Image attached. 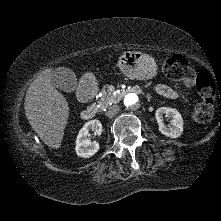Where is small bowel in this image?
Segmentation results:
<instances>
[{"label":"small bowel","instance_id":"1","mask_svg":"<svg viewBox=\"0 0 221 221\" xmlns=\"http://www.w3.org/2000/svg\"><path fill=\"white\" fill-rule=\"evenodd\" d=\"M156 91L169 99H177L181 96V92L179 90H176L170 86L164 85V84H160L156 87Z\"/></svg>","mask_w":221,"mask_h":221}]
</instances>
